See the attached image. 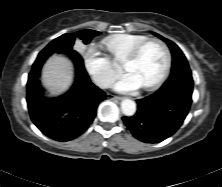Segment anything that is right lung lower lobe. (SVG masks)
Here are the masks:
<instances>
[{"mask_svg":"<svg viewBox=\"0 0 222 187\" xmlns=\"http://www.w3.org/2000/svg\"><path fill=\"white\" fill-rule=\"evenodd\" d=\"M54 52L68 51L44 48L39 53L27 82V103L31 120L38 129L46 136L64 142L78 137L88 128L106 95L90 81L81 56L73 51L68 52L76 66L72 88L58 98H45L38 78L43 63Z\"/></svg>","mask_w":222,"mask_h":187,"instance_id":"right-lung-lower-lobe-1","label":"right lung lower lobe"}]
</instances>
